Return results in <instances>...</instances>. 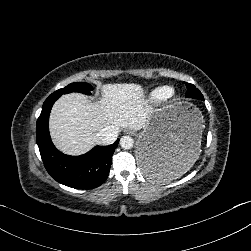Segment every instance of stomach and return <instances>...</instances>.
Segmentation results:
<instances>
[{
  "instance_id": "obj_1",
  "label": "stomach",
  "mask_w": 251,
  "mask_h": 251,
  "mask_svg": "<svg viewBox=\"0 0 251 251\" xmlns=\"http://www.w3.org/2000/svg\"><path fill=\"white\" fill-rule=\"evenodd\" d=\"M204 116L193 103L178 101L152 110L138 133L135 153L141 171L149 178L173 183L199 163Z\"/></svg>"
}]
</instances>
